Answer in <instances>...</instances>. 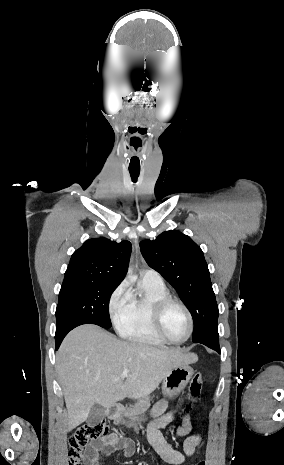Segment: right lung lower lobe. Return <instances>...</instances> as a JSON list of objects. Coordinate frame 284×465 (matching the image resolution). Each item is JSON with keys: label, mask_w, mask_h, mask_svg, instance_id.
Returning a JSON list of instances; mask_svg holds the SVG:
<instances>
[{"label": "right lung lower lobe", "mask_w": 284, "mask_h": 465, "mask_svg": "<svg viewBox=\"0 0 284 465\" xmlns=\"http://www.w3.org/2000/svg\"><path fill=\"white\" fill-rule=\"evenodd\" d=\"M82 324L84 323H73L66 327H63L62 329L56 330V334H55V347L56 348L55 349L58 350L62 340L68 334L69 331H71L73 328L79 325H82Z\"/></svg>", "instance_id": "right-lung-lower-lobe-1"}]
</instances>
